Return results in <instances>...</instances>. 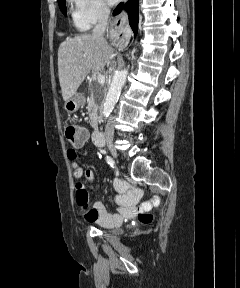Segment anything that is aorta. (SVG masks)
<instances>
[{"mask_svg":"<svg viewBox=\"0 0 240 288\" xmlns=\"http://www.w3.org/2000/svg\"><path fill=\"white\" fill-rule=\"evenodd\" d=\"M127 77V70L116 71L113 76L112 83L108 90L105 103L103 105L104 117H109L121 93V89L125 84Z\"/></svg>","mask_w":240,"mask_h":288,"instance_id":"762f6f07","label":"aorta"}]
</instances>
